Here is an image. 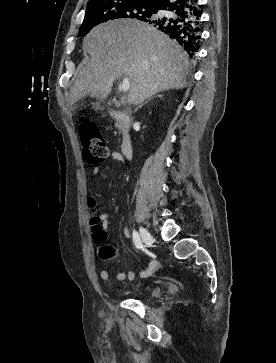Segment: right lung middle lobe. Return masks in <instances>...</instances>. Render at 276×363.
Segmentation results:
<instances>
[{"mask_svg": "<svg viewBox=\"0 0 276 363\" xmlns=\"http://www.w3.org/2000/svg\"><path fill=\"white\" fill-rule=\"evenodd\" d=\"M157 8L145 2L131 0H102L87 6L79 36L86 35L96 25L118 18L149 19Z\"/></svg>", "mask_w": 276, "mask_h": 363, "instance_id": "1", "label": "right lung middle lobe"}]
</instances>
